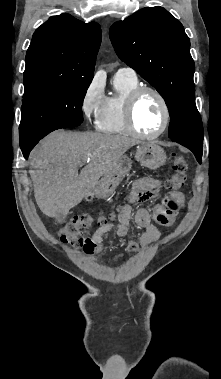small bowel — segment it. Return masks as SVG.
Instances as JSON below:
<instances>
[{
    "mask_svg": "<svg viewBox=\"0 0 221 379\" xmlns=\"http://www.w3.org/2000/svg\"><path fill=\"white\" fill-rule=\"evenodd\" d=\"M163 186V182L152 177H143L136 180L131 188L128 202L123 206L118 215L117 222H106L100 225L88 238L87 244L83 247L88 255L99 253L103 250V241L107 235L113 234L117 237H124L128 234L129 225L132 220L141 229L139 241L129 239L125 253H119L114 257L118 261L125 255H135L140 248H146L160 238L158 227L152 222L150 213L139 208L133 213L132 204L143 202L156 196ZM185 198L178 190L169 192L163 202L153 209V219L161 226H170L179 210L184 206Z\"/></svg>",
    "mask_w": 221,
    "mask_h": 379,
    "instance_id": "1",
    "label": "small bowel"
}]
</instances>
